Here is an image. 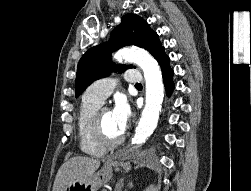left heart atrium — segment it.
I'll use <instances>...</instances> for the list:
<instances>
[{"label":"left heart atrium","mask_w":251,"mask_h":191,"mask_svg":"<svg viewBox=\"0 0 251 191\" xmlns=\"http://www.w3.org/2000/svg\"><path fill=\"white\" fill-rule=\"evenodd\" d=\"M114 127L120 133H123L130 119V108L124 101H118L109 111Z\"/></svg>","instance_id":"39dd6f15"}]
</instances>
